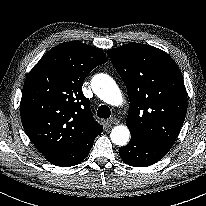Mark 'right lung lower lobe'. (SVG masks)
Returning a JSON list of instances; mask_svg holds the SVG:
<instances>
[{
    "instance_id": "98d812e1",
    "label": "right lung lower lobe",
    "mask_w": 206,
    "mask_h": 206,
    "mask_svg": "<svg viewBox=\"0 0 206 206\" xmlns=\"http://www.w3.org/2000/svg\"><path fill=\"white\" fill-rule=\"evenodd\" d=\"M102 131L94 134L93 136L89 137L85 141L81 142L80 144L57 154L47 156L46 159L57 166L61 167H69L74 166L82 162L85 157L88 155L94 139L101 133Z\"/></svg>"
}]
</instances>
